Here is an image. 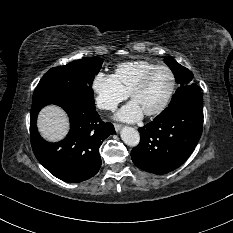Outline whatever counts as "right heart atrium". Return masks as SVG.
Here are the masks:
<instances>
[{"instance_id":"1","label":"right heart atrium","mask_w":233,"mask_h":233,"mask_svg":"<svg viewBox=\"0 0 233 233\" xmlns=\"http://www.w3.org/2000/svg\"><path fill=\"white\" fill-rule=\"evenodd\" d=\"M95 102L98 108L113 111L117 106L128 98L125 92L112 74L97 72L91 82Z\"/></svg>"}]
</instances>
